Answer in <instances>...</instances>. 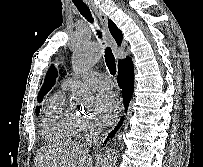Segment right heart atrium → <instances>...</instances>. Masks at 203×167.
Returning a JSON list of instances; mask_svg holds the SVG:
<instances>
[{
    "label": "right heart atrium",
    "mask_w": 203,
    "mask_h": 167,
    "mask_svg": "<svg viewBox=\"0 0 203 167\" xmlns=\"http://www.w3.org/2000/svg\"><path fill=\"white\" fill-rule=\"evenodd\" d=\"M81 123H82V128H84V129L92 128V123L88 119H81Z\"/></svg>",
    "instance_id": "d8ad5b80"
}]
</instances>
